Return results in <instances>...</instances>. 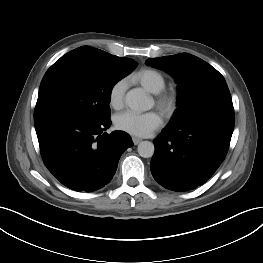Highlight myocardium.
Wrapping results in <instances>:
<instances>
[{
	"label": "myocardium",
	"instance_id": "obj_1",
	"mask_svg": "<svg viewBox=\"0 0 263 263\" xmlns=\"http://www.w3.org/2000/svg\"><path fill=\"white\" fill-rule=\"evenodd\" d=\"M155 102L161 112L170 117L178 108L179 96L175 91H161L158 93Z\"/></svg>",
	"mask_w": 263,
	"mask_h": 263
}]
</instances>
